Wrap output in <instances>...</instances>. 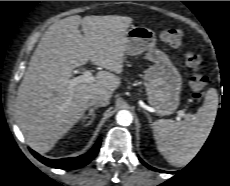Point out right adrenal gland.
I'll use <instances>...</instances> for the list:
<instances>
[{"label": "right adrenal gland", "mask_w": 230, "mask_h": 186, "mask_svg": "<svg viewBox=\"0 0 230 186\" xmlns=\"http://www.w3.org/2000/svg\"><path fill=\"white\" fill-rule=\"evenodd\" d=\"M98 108H99L98 106H94V107H92V108L89 109L88 113L83 117V119H87V118L90 117V120H89L88 123L85 124L84 126H88V125H90V124L94 121V119H95V117H96L94 111H95L96 109H98Z\"/></svg>", "instance_id": "obj_1"}]
</instances>
